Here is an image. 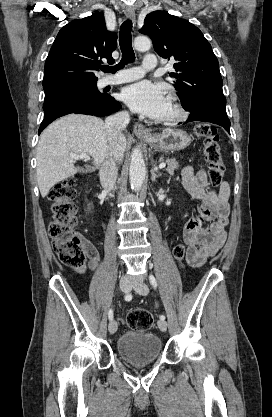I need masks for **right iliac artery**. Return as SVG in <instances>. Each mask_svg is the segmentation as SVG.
Here are the masks:
<instances>
[{
	"mask_svg": "<svg viewBox=\"0 0 272 417\" xmlns=\"http://www.w3.org/2000/svg\"><path fill=\"white\" fill-rule=\"evenodd\" d=\"M131 299H132V295L131 294L125 295V300L126 301H130ZM108 317H109V320H112L113 319V311H112V309H110L108 311Z\"/></svg>",
	"mask_w": 272,
	"mask_h": 417,
	"instance_id": "1",
	"label": "right iliac artery"
}]
</instances>
